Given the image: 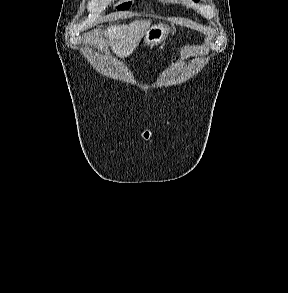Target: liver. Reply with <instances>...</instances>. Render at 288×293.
Returning <instances> with one entry per match:
<instances>
[{"instance_id": "obj_1", "label": "liver", "mask_w": 288, "mask_h": 293, "mask_svg": "<svg viewBox=\"0 0 288 293\" xmlns=\"http://www.w3.org/2000/svg\"><path fill=\"white\" fill-rule=\"evenodd\" d=\"M150 25V20H136L129 25L108 27L104 32L107 41L102 46L105 48L110 46L113 52L121 58L128 57L136 49Z\"/></svg>"}]
</instances>
